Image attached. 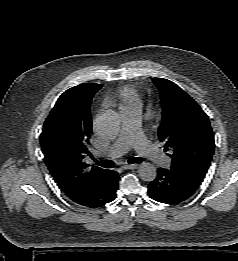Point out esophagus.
Masks as SVG:
<instances>
[{"label":"esophagus","instance_id":"esophagus-1","mask_svg":"<svg viewBox=\"0 0 238 261\" xmlns=\"http://www.w3.org/2000/svg\"><path fill=\"white\" fill-rule=\"evenodd\" d=\"M139 167L138 164H125L123 165L124 169H137Z\"/></svg>","mask_w":238,"mask_h":261}]
</instances>
